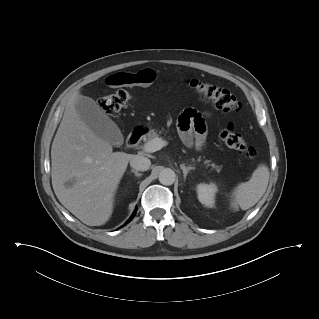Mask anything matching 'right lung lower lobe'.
I'll list each match as a JSON object with an SVG mask.
<instances>
[{"mask_svg": "<svg viewBox=\"0 0 319 319\" xmlns=\"http://www.w3.org/2000/svg\"><path fill=\"white\" fill-rule=\"evenodd\" d=\"M136 211H137V210L134 211V213L132 214V216L130 217V219H129L126 223L130 222V221L133 219V217H134L135 214H136ZM124 225H125V224H124ZM124 225H123V226H124ZM123 226H121V227H123Z\"/></svg>", "mask_w": 319, "mask_h": 319, "instance_id": "1", "label": "right lung lower lobe"}]
</instances>
